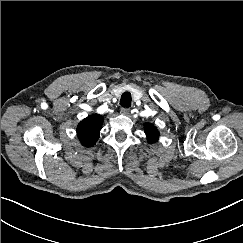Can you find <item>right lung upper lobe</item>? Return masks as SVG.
<instances>
[{"label":"right lung upper lobe","instance_id":"1","mask_svg":"<svg viewBox=\"0 0 243 243\" xmlns=\"http://www.w3.org/2000/svg\"><path fill=\"white\" fill-rule=\"evenodd\" d=\"M103 118L99 115H92L81 121L77 127V136L80 142L90 147L96 143L100 136Z\"/></svg>","mask_w":243,"mask_h":243}]
</instances>
